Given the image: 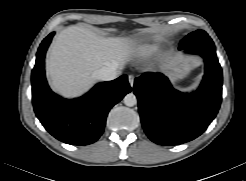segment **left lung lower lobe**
<instances>
[{
    "mask_svg": "<svg viewBox=\"0 0 246 181\" xmlns=\"http://www.w3.org/2000/svg\"><path fill=\"white\" fill-rule=\"evenodd\" d=\"M182 49L201 55L205 62V75L195 92L173 89L160 73H144L134 82L142 126L146 135L159 145H179L200 136L221 104L222 69L212 39L179 47Z\"/></svg>",
    "mask_w": 246,
    "mask_h": 181,
    "instance_id": "obj_1",
    "label": "left lung lower lobe"
}]
</instances>
